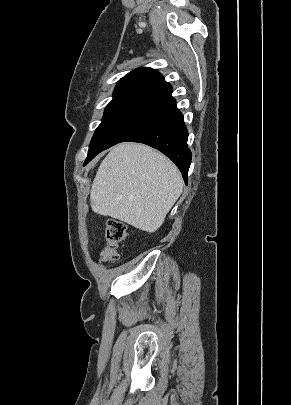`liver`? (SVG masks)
<instances>
[{
    "label": "liver",
    "mask_w": 291,
    "mask_h": 405,
    "mask_svg": "<svg viewBox=\"0 0 291 405\" xmlns=\"http://www.w3.org/2000/svg\"><path fill=\"white\" fill-rule=\"evenodd\" d=\"M182 190L178 168L163 154L143 144L121 143L100 164L90 199L95 213L152 233Z\"/></svg>",
    "instance_id": "obj_1"
}]
</instances>
